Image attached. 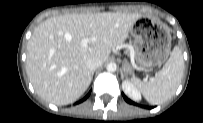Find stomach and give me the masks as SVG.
Returning <instances> with one entry per match:
<instances>
[{"label":"stomach","instance_id":"0dacf381","mask_svg":"<svg viewBox=\"0 0 203 123\" xmlns=\"http://www.w3.org/2000/svg\"><path fill=\"white\" fill-rule=\"evenodd\" d=\"M135 48L136 61L142 67L164 63L171 54V35L153 20L137 22L130 30ZM131 67L126 65V71Z\"/></svg>","mask_w":203,"mask_h":123}]
</instances>
